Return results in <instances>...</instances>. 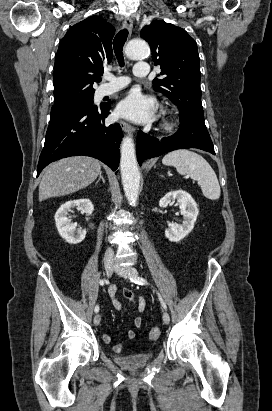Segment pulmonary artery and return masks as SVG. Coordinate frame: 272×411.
I'll list each match as a JSON object with an SVG mask.
<instances>
[{"instance_id": "1", "label": "pulmonary artery", "mask_w": 272, "mask_h": 411, "mask_svg": "<svg viewBox=\"0 0 272 411\" xmlns=\"http://www.w3.org/2000/svg\"><path fill=\"white\" fill-rule=\"evenodd\" d=\"M149 74V67L146 63H137L134 69V75L136 77H147ZM106 79L111 82L102 85L98 90L99 96L110 95L121 88L125 87L129 83V79L126 77H114L111 74H107Z\"/></svg>"}]
</instances>
